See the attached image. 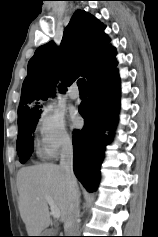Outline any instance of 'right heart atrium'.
Returning <instances> with one entry per match:
<instances>
[{"label": "right heart atrium", "mask_w": 158, "mask_h": 237, "mask_svg": "<svg viewBox=\"0 0 158 237\" xmlns=\"http://www.w3.org/2000/svg\"><path fill=\"white\" fill-rule=\"evenodd\" d=\"M38 150L46 158H55L72 143V136L61 112L51 106L42 109L37 120Z\"/></svg>", "instance_id": "d8ad5b80"}]
</instances>
